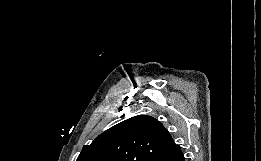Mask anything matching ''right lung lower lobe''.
<instances>
[{
	"mask_svg": "<svg viewBox=\"0 0 261 161\" xmlns=\"http://www.w3.org/2000/svg\"><path fill=\"white\" fill-rule=\"evenodd\" d=\"M158 161H185L184 159V156H183V153L181 152V150L171 154V155H168Z\"/></svg>",
	"mask_w": 261,
	"mask_h": 161,
	"instance_id": "obj_1",
	"label": "right lung lower lobe"
}]
</instances>
